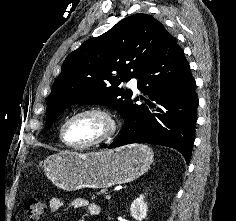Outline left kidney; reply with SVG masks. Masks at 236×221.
<instances>
[{
    "label": "left kidney",
    "instance_id": "left-kidney-1",
    "mask_svg": "<svg viewBox=\"0 0 236 221\" xmlns=\"http://www.w3.org/2000/svg\"><path fill=\"white\" fill-rule=\"evenodd\" d=\"M145 196L141 194L138 198H136L130 207L131 216L138 221H142L147 216V203L144 201Z\"/></svg>",
    "mask_w": 236,
    "mask_h": 221
}]
</instances>
